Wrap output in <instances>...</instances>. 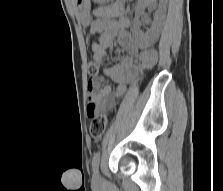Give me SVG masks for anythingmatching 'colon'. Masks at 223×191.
Segmentation results:
<instances>
[{"mask_svg":"<svg viewBox=\"0 0 223 191\" xmlns=\"http://www.w3.org/2000/svg\"><path fill=\"white\" fill-rule=\"evenodd\" d=\"M88 73L92 79H94L98 75L99 66L95 61H92L88 64ZM89 112L91 113V115H93L90 125V134L93 138H101L107 129L109 123V115H94L95 109L93 107L89 108Z\"/></svg>","mask_w":223,"mask_h":191,"instance_id":"colon-1","label":"colon"}]
</instances>
